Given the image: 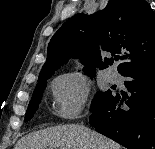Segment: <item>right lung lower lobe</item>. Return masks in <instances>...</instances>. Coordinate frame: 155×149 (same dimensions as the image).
Listing matches in <instances>:
<instances>
[{
	"mask_svg": "<svg viewBox=\"0 0 155 149\" xmlns=\"http://www.w3.org/2000/svg\"><path fill=\"white\" fill-rule=\"evenodd\" d=\"M122 75L130 78L125 85L131 96L112 97L93 110L89 123L128 149H155V65Z\"/></svg>",
	"mask_w": 155,
	"mask_h": 149,
	"instance_id": "right-lung-lower-lobe-1",
	"label": "right lung lower lobe"
}]
</instances>
